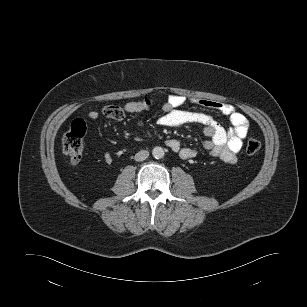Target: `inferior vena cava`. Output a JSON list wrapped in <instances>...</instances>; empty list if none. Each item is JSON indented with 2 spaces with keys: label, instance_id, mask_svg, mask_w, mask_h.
<instances>
[{
  "label": "inferior vena cava",
  "instance_id": "1",
  "mask_svg": "<svg viewBox=\"0 0 307 307\" xmlns=\"http://www.w3.org/2000/svg\"><path fill=\"white\" fill-rule=\"evenodd\" d=\"M149 156V152L146 151V150H141L139 151L138 153L135 154V160L136 161H143L145 160L146 158H148Z\"/></svg>",
  "mask_w": 307,
  "mask_h": 307
}]
</instances>
